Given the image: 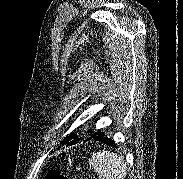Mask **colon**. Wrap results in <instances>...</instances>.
I'll return each instance as SVG.
<instances>
[{
	"label": "colon",
	"mask_w": 183,
	"mask_h": 179,
	"mask_svg": "<svg viewBox=\"0 0 183 179\" xmlns=\"http://www.w3.org/2000/svg\"><path fill=\"white\" fill-rule=\"evenodd\" d=\"M47 179H75V178L68 177L58 170H51L47 175Z\"/></svg>",
	"instance_id": "1"
}]
</instances>
